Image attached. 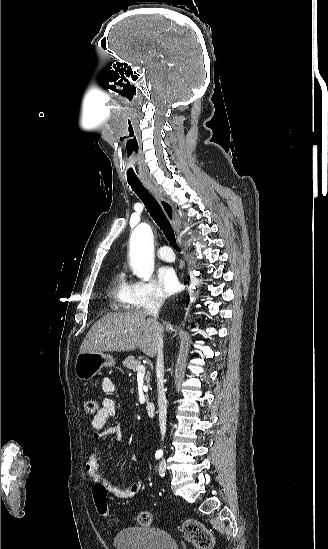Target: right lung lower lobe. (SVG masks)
Returning a JSON list of instances; mask_svg holds the SVG:
<instances>
[{
	"label": "right lung lower lobe",
	"mask_w": 328,
	"mask_h": 549,
	"mask_svg": "<svg viewBox=\"0 0 328 549\" xmlns=\"http://www.w3.org/2000/svg\"><path fill=\"white\" fill-rule=\"evenodd\" d=\"M189 300H190V298H189V296H188V297H187V304H188Z\"/></svg>",
	"instance_id": "1"
}]
</instances>
